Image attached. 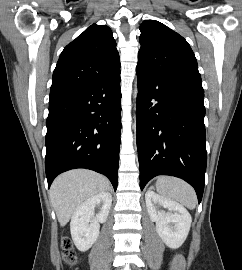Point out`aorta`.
<instances>
[{
    "instance_id": "1",
    "label": "aorta",
    "mask_w": 242,
    "mask_h": 270,
    "mask_svg": "<svg viewBox=\"0 0 242 270\" xmlns=\"http://www.w3.org/2000/svg\"><path fill=\"white\" fill-rule=\"evenodd\" d=\"M137 93H138L137 84H135L134 95H133L135 100H136V97H137Z\"/></svg>"
}]
</instances>
